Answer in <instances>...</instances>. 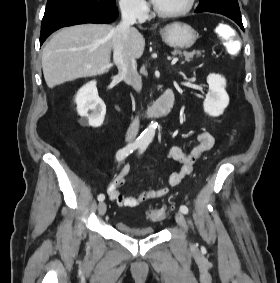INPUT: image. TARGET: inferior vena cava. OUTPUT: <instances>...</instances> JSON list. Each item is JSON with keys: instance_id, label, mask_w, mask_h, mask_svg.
I'll return each mask as SVG.
<instances>
[{"instance_id": "inferior-vena-cava-1", "label": "inferior vena cava", "mask_w": 280, "mask_h": 283, "mask_svg": "<svg viewBox=\"0 0 280 283\" xmlns=\"http://www.w3.org/2000/svg\"><path fill=\"white\" fill-rule=\"evenodd\" d=\"M120 9L121 22L114 28L112 40L113 61L118 67L119 75L124 78L125 82L136 91H140L142 89V79L137 72L136 60L128 44L130 29L136 23L138 9L132 2L122 3ZM138 130L139 118L136 117L127 130L126 141L132 142L136 138Z\"/></svg>"}]
</instances>
